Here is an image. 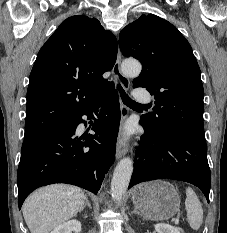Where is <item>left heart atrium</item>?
Returning a JSON list of instances; mask_svg holds the SVG:
<instances>
[{
    "label": "left heart atrium",
    "mask_w": 227,
    "mask_h": 233,
    "mask_svg": "<svg viewBox=\"0 0 227 233\" xmlns=\"http://www.w3.org/2000/svg\"><path fill=\"white\" fill-rule=\"evenodd\" d=\"M128 133L126 132V133H124V136H126Z\"/></svg>",
    "instance_id": "obj_1"
}]
</instances>
